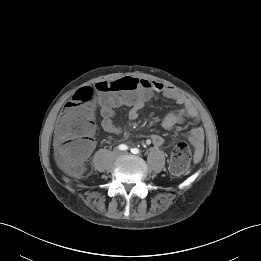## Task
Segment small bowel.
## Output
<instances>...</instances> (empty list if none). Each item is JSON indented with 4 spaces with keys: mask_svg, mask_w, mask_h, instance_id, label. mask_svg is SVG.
<instances>
[{
    "mask_svg": "<svg viewBox=\"0 0 261 261\" xmlns=\"http://www.w3.org/2000/svg\"><path fill=\"white\" fill-rule=\"evenodd\" d=\"M153 92L160 93L166 98L171 99L182 106L180 109L172 111L164 116L162 120L163 127L168 130H172L175 125L185 121L186 119H190L196 123V125L185 134V137L192 143L194 147L195 162H199L202 159L204 153L205 134L203 128L197 124L199 122L198 111L181 91L171 86L162 83H153L152 88L147 93L140 92L135 100L128 101L125 99H107L103 101L100 109L102 129L110 134L121 133L122 127L115 121V108L128 106V118L130 120H137L140 116L141 110L145 106L146 102L150 99V95ZM82 110L83 109L78 107V104L73 100H70L64 106L56 128L57 142L60 143L68 136V132L64 129V122L67 115L72 111L80 112ZM86 131L91 139L95 133V122L91 111L88 116ZM149 140L155 146H160L164 143L163 137L158 134L150 135ZM94 147L95 144L91 139V144L85 155V158L92 153Z\"/></svg>",
    "mask_w": 261,
    "mask_h": 261,
    "instance_id": "c3829d8e",
    "label": "small bowel"
}]
</instances>
